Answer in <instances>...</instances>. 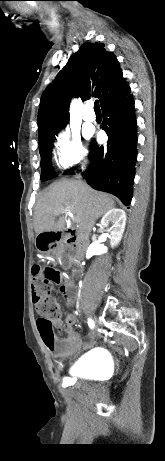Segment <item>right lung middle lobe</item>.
I'll list each match as a JSON object with an SVG mask.
<instances>
[{
	"label": "right lung middle lobe",
	"mask_w": 165,
	"mask_h": 461,
	"mask_svg": "<svg viewBox=\"0 0 165 461\" xmlns=\"http://www.w3.org/2000/svg\"><path fill=\"white\" fill-rule=\"evenodd\" d=\"M57 130L47 132L39 139V151L41 155V180H47L54 176L50 167L52 143L55 141Z\"/></svg>",
	"instance_id": "right-lung-middle-lobe-1"
}]
</instances>
